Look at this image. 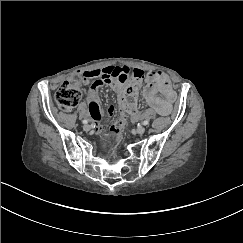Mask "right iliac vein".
Listing matches in <instances>:
<instances>
[{"mask_svg": "<svg viewBox=\"0 0 243 243\" xmlns=\"http://www.w3.org/2000/svg\"><path fill=\"white\" fill-rule=\"evenodd\" d=\"M83 130H84V131H89V130H90V125L85 124V125L83 126Z\"/></svg>", "mask_w": 243, "mask_h": 243, "instance_id": "obj_1", "label": "right iliac vein"}]
</instances>
